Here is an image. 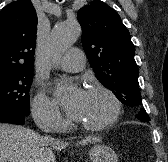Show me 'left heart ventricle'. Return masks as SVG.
Listing matches in <instances>:
<instances>
[{
	"label": "left heart ventricle",
	"instance_id": "left-heart-ventricle-1",
	"mask_svg": "<svg viewBox=\"0 0 168 162\" xmlns=\"http://www.w3.org/2000/svg\"><path fill=\"white\" fill-rule=\"evenodd\" d=\"M111 110V102L105 94L88 91L82 113L78 120L88 124L101 123L109 117Z\"/></svg>",
	"mask_w": 168,
	"mask_h": 162
}]
</instances>
